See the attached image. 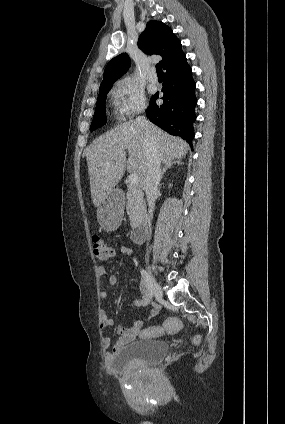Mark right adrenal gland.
Masks as SVG:
<instances>
[{
	"mask_svg": "<svg viewBox=\"0 0 285 424\" xmlns=\"http://www.w3.org/2000/svg\"><path fill=\"white\" fill-rule=\"evenodd\" d=\"M181 164L182 162L180 160H176V161L165 164L161 172V179L163 178L164 174L166 173L168 169H170L171 167H174L175 165H181Z\"/></svg>",
	"mask_w": 285,
	"mask_h": 424,
	"instance_id": "right-adrenal-gland-1",
	"label": "right adrenal gland"
}]
</instances>
